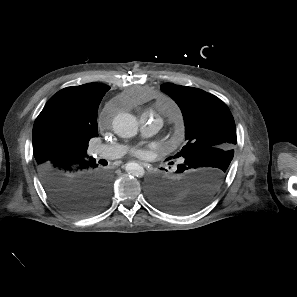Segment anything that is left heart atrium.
I'll list each match as a JSON object with an SVG mask.
<instances>
[{
	"mask_svg": "<svg viewBox=\"0 0 297 297\" xmlns=\"http://www.w3.org/2000/svg\"><path fill=\"white\" fill-rule=\"evenodd\" d=\"M132 154H134L135 156H138V157H145L148 154V152L144 148L135 147L132 149Z\"/></svg>",
	"mask_w": 297,
	"mask_h": 297,
	"instance_id": "39dd6f15",
	"label": "left heart atrium"
}]
</instances>
